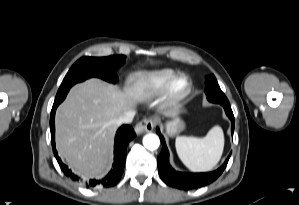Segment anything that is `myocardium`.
Returning a JSON list of instances; mask_svg holds the SVG:
<instances>
[{
  "label": "myocardium",
  "mask_w": 299,
  "mask_h": 205,
  "mask_svg": "<svg viewBox=\"0 0 299 205\" xmlns=\"http://www.w3.org/2000/svg\"><path fill=\"white\" fill-rule=\"evenodd\" d=\"M191 88L192 83L187 75L174 76L164 85L161 101L166 105L178 104L191 92Z\"/></svg>",
  "instance_id": "f54148a6"
}]
</instances>
